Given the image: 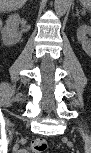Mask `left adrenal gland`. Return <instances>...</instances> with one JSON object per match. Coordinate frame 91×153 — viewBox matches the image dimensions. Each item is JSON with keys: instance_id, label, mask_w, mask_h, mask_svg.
Wrapping results in <instances>:
<instances>
[{"instance_id": "left-adrenal-gland-1", "label": "left adrenal gland", "mask_w": 91, "mask_h": 153, "mask_svg": "<svg viewBox=\"0 0 91 153\" xmlns=\"http://www.w3.org/2000/svg\"><path fill=\"white\" fill-rule=\"evenodd\" d=\"M75 15L79 17V11H78V9H76V14Z\"/></svg>"}]
</instances>
